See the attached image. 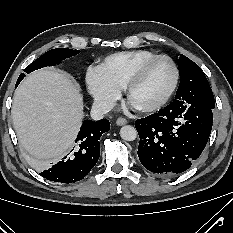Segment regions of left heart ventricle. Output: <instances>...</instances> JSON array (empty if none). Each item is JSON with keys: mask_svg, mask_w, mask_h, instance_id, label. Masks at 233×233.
I'll return each mask as SVG.
<instances>
[{"mask_svg": "<svg viewBox=\"0 0 233 233\" xmlns=\"http://www.w3.org/2000/svg\"><path fill=\"white\" fill-rule=\"evenodd\" d=\"M173 80V68L166 59L156 60L144 71L129 92V100L136 107H144L158 101Z\"/></svg>", "mask_w": 233, "mask_h": 233, "instance_id": "obj_1", "label": "left heart ventricle"}]
</instances>
